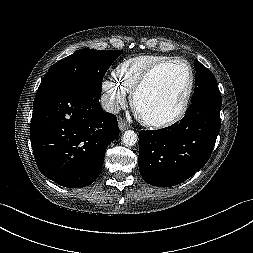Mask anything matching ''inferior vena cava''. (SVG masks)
I'll use <instances>...</instances> for the list:
<instances>
[{"mask_svg": "<svg viewBox=\"0 0 253 253\" xmlns=\"http://www.w3.org/2000/svg\"><path fill=\"white\" fill-rule=\"evenodd\" d=\"M101 105L105 111L113 113V114H118V112L120 110V106H119L118 102L116 100H114V98H112L108 95H104L101 98Z\"/></svg>", "mask_w": 253, "mask_h": 253, "instance_id": "obj_1", "label": "inferior vena cava"}]
</instances>
